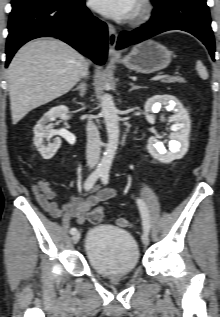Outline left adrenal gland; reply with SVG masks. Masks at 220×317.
Returning <instances> with one entry per match:
<instances>
[{
  "mask_svg": "<svg viewBox=\"0 0 220 317\" xmlns=\"http://www.w3.org/2000/svg\"><path fill=\"white\" fill-rule=\"evenodd\" d=\"M129 85L131 86V89L129 91L141 88L140 86L134 85V83H129Z\"/></svg>",
  "mask_w": 220,
  "mask_h": 317,
  "instance_id": "obj_1",
  "label": "left adrenal gland"
}]
</instances>
